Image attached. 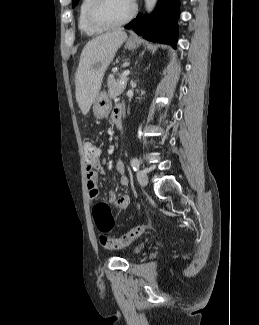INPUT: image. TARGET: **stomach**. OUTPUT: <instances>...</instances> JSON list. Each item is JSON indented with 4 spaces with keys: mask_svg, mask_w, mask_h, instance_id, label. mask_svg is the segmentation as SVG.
<instances>
[{
    "mask_svg": "<svg viewBox=\"0 0 259 325\" xmlns=\"http://www.w3.org/2000/svg\"><path fill=\"white\" fill-rule=\"evenodd\" d=\"M125 47L129 50H134L138 47L136 41L128 40ZM112 107L110 97L106 92H100L93 103V113L97 119H102L108 116Z\"/></svg>",
    "mask_w": 259,
    "mask_h": 325,
    "instance_id": "obj_1",
    "label": "stomach"
}]
</instances>
